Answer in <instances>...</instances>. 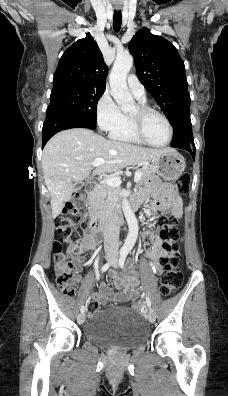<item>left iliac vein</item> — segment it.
<instances>
[{
    "instance_id": "4c4485c4",
    "label": "left iliac vein",
    "mask_w": 228,
    "mask_h": 396,
    "mask_svg": "<svg viewBox=\"0 0 228 396\" xmlns=\"http://www.w3.org/2000/svg\"><path fill=\"white\" fill-rule=\"evenodd\" d=\"M116 265H117V260L115 259V260H114V263H113V266L116 267ZM148 319H149V321H150L151 323H154V322H155V320H156V314H155L154 310H152V309L149 310V312H148Z\"/></svg>"
}]
</instances>
